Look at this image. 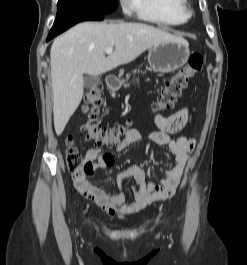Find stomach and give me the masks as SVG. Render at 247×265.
<instances>
[{"label":"stomach","instance_id":"0dacf381","mask_svg":"<svg viewBox=\"0 0 247 265\" xmlns=\"http://www.w3.org/2000/svg\"><path fill=\"white\" fill-rule=\"evenodd\" d=\"M190 56L187 41H166L154 45L148 54V62L155 72L170 73L182 67ZM118 86H111L116 91Z\"/></svg>","mask_w":247,"mask_h":265}]
</instances>
